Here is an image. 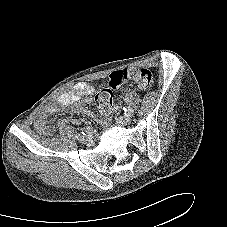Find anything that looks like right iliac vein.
<instances>
[{
    "label": "right iliac vein",
    "instance_id": "obj_1",
    "mask_svg": "<svg viewBox=\"0 0 227 227\" xmlns=\"http://www.w3.org/2000/svg\"><path fill=\"white\" fill-rule=\"evenodd\" d=\"M79 141H80V142H87V141H88V138H87V137H84V136H81V137L79 138Z\"/></svg>",
    "mask_w": 227,
    "mask_h": 227
}]
</instances>
